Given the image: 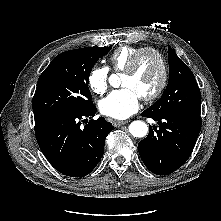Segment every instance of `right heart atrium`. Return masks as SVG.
<instances>
[{"instance_id": "1", "label": "right heart atrium", "mask_w": 221, "mask_h": 221, "mask_svg": "<svg viewBox=\"0 0 221 221\" xmlns=\"http://www.w3.org/2000/svg\"><path fill=\"white\" fill-rule=\"evenodd\" d=\"M109 71L106 67L96 66L88 75V86L95 94H103L108 87Z\"/></svg>"}]
</instances>
